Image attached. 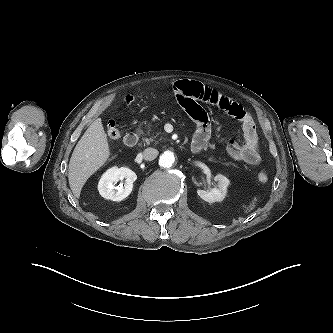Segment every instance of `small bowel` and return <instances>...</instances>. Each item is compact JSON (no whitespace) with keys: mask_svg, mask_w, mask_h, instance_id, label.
Instances as JSON below:
<instances>
[{"mask_svg":"<svg viewBox=\"0 0 333 333\" xmlns=\"http://www.w3.org/2000/svg\"><path fill=\"white\" fill-rule=\"evenodd\" d=\"M174 93L181 106L196 124V131L192 140L193 145L205 146L211 135L208 114L199 104L204 102L217 106L242 123L244 141L239 143L236 140H230L227 143L228 154L235 160L243 161L249 165L255 166L260 163L259 140L255 123L250 113L239 101L217 89L189 80L176 82Z\"/></svg>","mask_w":333,"mask_h":333,"instance_id":"1","label":"small bowel"}]
</instances>
